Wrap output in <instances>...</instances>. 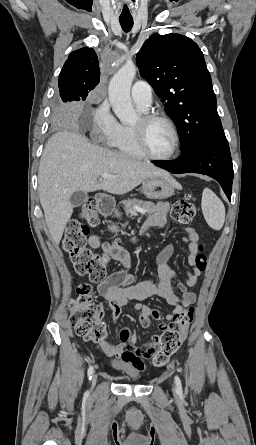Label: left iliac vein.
I'll list each match as a JSON object with an SVG mask.
<instances>
[{
  "instance_id": "4c4485c4",
  "label": "left iliac vein",
  "mask_w": 256,
  "mask_h": 445,
  "mask_svg": "<svg viewBox=\"0 0 256 445\" xmlns=\"http://www.w3.org/2000/svg\"><path fill=\"white\" fill-rule=\"evenodd\" d=\"M173 391H177V387H176V384H174V386H173Z\"/></svg>"
}]
</instances>
